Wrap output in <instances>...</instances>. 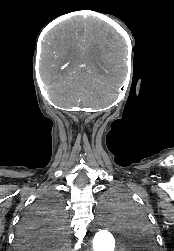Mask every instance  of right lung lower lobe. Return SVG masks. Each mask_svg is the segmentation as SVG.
Instances as JSON below:
<instances>
[{"mask_svg":"<svg viewBox=\"0 0 174 251\" xmlns=\"http://www.w3.org/2000/svg\"><path fill=\"white\" fill-rule=\"evenodd\" d=\"M61 231L41 218L24 219L17 232L16 248L19 251H41L32 248L55 245L53 247L62 250Z\"/></svg>","mask_w":174,"mask_h":251,"instance_id":"right-lung-lower-lobe-1","label":"right lung lower lobe"}]
</instances>
